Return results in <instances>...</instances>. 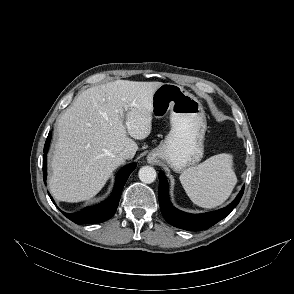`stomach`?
Returning <instances> with one entry per match:
<instances>
[{
	"label": "stomach",
	"mask_w": 294,
	"mask_h": 294,
	"mask_svg": "<svg viewBox=\"0 0 294 294\" xmlns=\"http://www.w3.org/2000/svg\"><path fill=\"white\" fill-rule=\"evenodd\" d=\"M170 113L171 130L165 140L148 154V160L161 159L181 172L203 157L206 117L199 100L183 87L163 83L152 95V115Z\"/></svg>",
	"instance_id": "1"
}]
</instances>
